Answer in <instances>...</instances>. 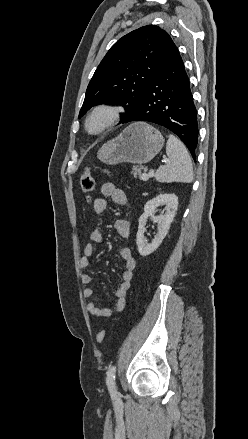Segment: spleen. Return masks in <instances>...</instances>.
Here are the masks:
<instances>
[{
  "label": "spleen",
  "mask_w": 248,
  "mask_h": 439,
  "mask_svg": "<svg viewBox=\"0 0 248 439\" xmlns=\"http://www.w3.org/2000/svg\"><path fill=\"white\" fill-rule=\"evenodd\" d=\"M166 154L170 162L158 168L155 173L156 180L165 183H191L193 181V167L190 155L184 144L174 135H169Z\"/></svg>",
  "instance_id": "1"
}]
</instances>
